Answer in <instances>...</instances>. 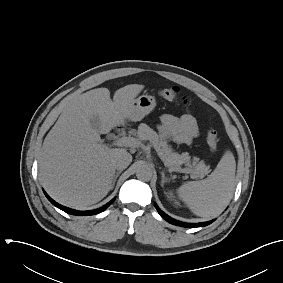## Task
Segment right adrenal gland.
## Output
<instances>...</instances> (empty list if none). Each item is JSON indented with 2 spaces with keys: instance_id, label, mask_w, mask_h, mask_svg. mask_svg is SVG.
I'll return each mask as SVG.
<instances>
[{
  "instance_id": "right-adrenal-gland-1",
  "label": "right adrenal gland",
  "mask_w": 283,
  "mask_h": 283,
  "mask_svg": "<svg viewBox=\"0 0 283 283\" xmlns=\"http://www.w3.org/2000/svg\"><path fill=\"white\" fill-rule=\"evenodd\" d=\"M121 171L116 172V174L113 177V182H112V189L114 188L115 182L118 178V176L120 175Z\"/></svg>"
}]
</instances>
